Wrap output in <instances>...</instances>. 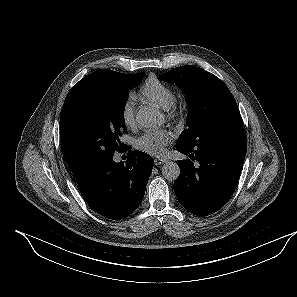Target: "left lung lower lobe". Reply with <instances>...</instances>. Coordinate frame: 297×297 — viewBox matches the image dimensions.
Listing matches in <instances>:
<instances>
[{
  "mask_svg": "<svg viewBox=\"0 0 297 297\" xmlns=\"http://www.w3.org/2000/svg\"><path fill=\"white\" fill-rule=\"evenodd\" d=\"M176 149L200 164L176 162L180 175L173 187L178 201L197 216L215 213L226 204L238 183L246 150L243 128L227 131L193 149L178 145Z\"/></svg>",
  "mask_w": 297,
  "mask_h": 297,
  "instance_id": "1",
  "label": "left lung lower lobe"
}]
</instances>
